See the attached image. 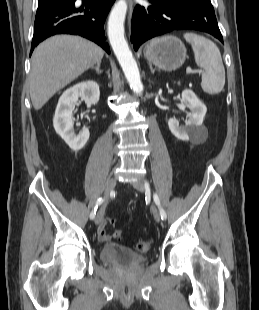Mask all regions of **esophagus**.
<instances>
[{"mask_svg": "<svg viewBox=\"0 0 259 310\" xmlns=\"http://www.w3.org/2000/svg\"><path fill=\"white\" fill-rule=\"evenodd\" d=\"M129 8H130V16H131V12H132V8H133L132 0H129Z\"/></svg>", "mask_w": 259, "mask_h": 310, "instance_id": "1", "label": "esophagus"}]
</instances>
